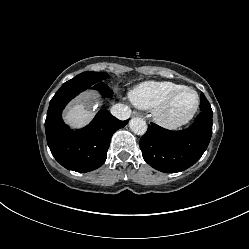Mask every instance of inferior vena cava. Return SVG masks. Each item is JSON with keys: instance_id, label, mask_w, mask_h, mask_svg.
Instances as JSON below:
<instances>
[{"instance_id": "obj_1", "label": "inferior vena cava", "mask_w": 249, "mask_h": 249, "mask_svg": "<svg viewBox=\"0 0 249 249\" xmlns=\"http://www.w3.org/2000/svg\"><path fill=\"white\" fill-rule=\"evenodd\" d=\"M111 114L120 120H126L131 115V109L125 104H115L111 107Z\"/></svg>"}]
</instances>
